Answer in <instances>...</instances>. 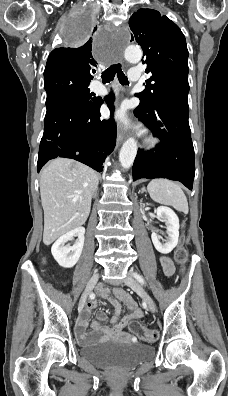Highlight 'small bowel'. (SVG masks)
I'll return each mask as SVG.
<instances>
[{
	"label": "small bowel",
	"mask_w": 228,
	"mask_h": 396,
	"mask_svg": "<svg viewBox=\"0 0 228 396\" xmlns=\"http://www.w3.org/2000/svg\"><path fill=\"white\" fill-rule=\"evenodd\" d=\"M160 263L165 275L172 276L174 273V264L168 257L162 256ZM98 293L101 297L108 300L114 309V315L111 318L113 326L111 328L102 324L106 320V313L98 311L96 314V321L89 325V315L91 311L97 306L95 300H91L86 304V307L75 325V334L78 340L83 343H91L105 338L118 337L122 339H132L131 335L125 332L126 326L132 321H137L144 317V312L137 306L132 297L122 289H115L113 293L104 287L98 288ZM120 302H123L130 310V314L125 316L118 322V316L121 312ZM90 327L91 331L87 332Z\"/></svg>",
	"instance_id": "small-bowel-1"
}]
</instances>
